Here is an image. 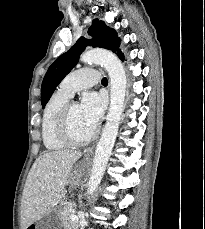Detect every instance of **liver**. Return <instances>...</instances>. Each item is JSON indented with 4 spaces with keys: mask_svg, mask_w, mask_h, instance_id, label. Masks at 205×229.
Instances as JSON below:
<instances>
[{
    "mask_svg": "<svg viewBox=\"0 0 205 229\" xmlns=\"http://www.w3.org/2000/svg\"><path fill=\"white\" fill-rule=\"evenodd\" d=\"M82 156L77 150L46 152L33 164L21 201L22 229L40 220L64 196L73 164Z\"/></svg>",
    "mask_w": 205,
    "mask_h": 229,
    "instance_id": "1",
    "label": "liver"
}]
</instances>
